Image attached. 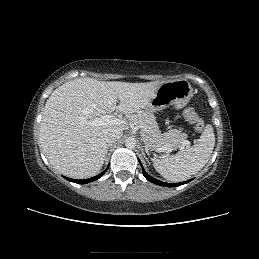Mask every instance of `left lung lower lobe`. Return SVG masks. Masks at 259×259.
I'll use <instances>...</instances> for the list:
<instances>
[{
    "label": "left lung lower lobe",
    "mask_w": 259,
    "mask_h": 259,
    "mask_svg": "<svg viewBox=\"0 0 259 259\" xmlns=\"http://www.w3.org/2000/svg\"><path fill=\"white\" fill-rule=\"evenodd\" d=\"M143 175H144V177H145L148 181H150V182H152V183H154V184L160 185V186H165V187H177V186L183 185V184H185V183H188V182L190 181V180H189V181H186V182L171 184V183H165V182L159 181V180H157V179L151 177V176L148 175L144 170H143Z\"/></svg>",
    "instance_id": "left-lung-lower-lobe-1"
}]
</instances>
